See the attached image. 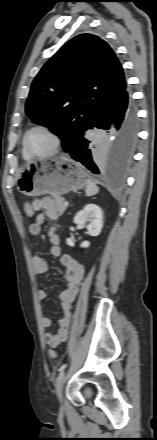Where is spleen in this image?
<instances>
[{
    "instance_id": "obj_1",
    "label": "spleen",
    "mask_w": 157,
    "mask_h": 440,
    "mask_svg": "<svg viewBox=\"0 0 157 440\" xmlns=\"http://www.w3.org/2000/svg\"><path fill=\"white\" fill-rule=\"evenodd\" d=\"M98 192L99 188L97 187V185L91 179H87L85 190L86 196L90 197L97 194Z\"/></svg>"
}]
</instances>
